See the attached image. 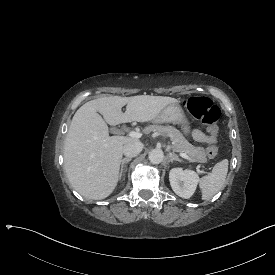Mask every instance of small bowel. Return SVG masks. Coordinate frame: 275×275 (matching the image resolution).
<instances>
[{"instance_id": "1", "label": "small bowel", "mask_w": 275, "mask_h": 275, "mask_svg": "<svg viewBox=\"0 0 275 275\" xmlns=\"http://www.w3.org/2000/svg\"><path fill=\"white\" fill-rule=\"evenodd\" d=\"M193 138L199 143H208L209 137L199 129L193 131Z\"/></svg>"}]
</instances>
